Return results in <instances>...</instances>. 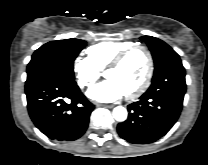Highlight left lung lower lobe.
I'll list each match as a JSON object with an SVG mask.
<instances>
[{
    "label": "left lung lower lobe",
    "instance_id": "obj_1",
    "mask_svg": "<svg viewBox=\"0 0 208 165\" xmlns=\"http://www.w3.org/2000/svg\"><path fill=\"white\" fill-rule=\"evenodd\" d=\"M186 92L185 70L168 71L152 80L139 101L128 106V119L119 123V135L133 144L152 143L176 123Z\"/></svg>",
    "mask_w": 208,
    "mask_h": 165
}]
</instances>
